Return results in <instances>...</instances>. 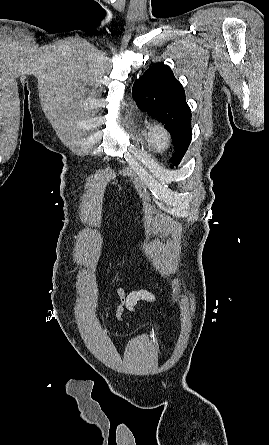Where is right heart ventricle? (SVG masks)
Instances as JSON below:
<instances>
[{
	"label": "right heart ventricle",
	"mask_w": 269,
	"mask_h": 445,
	"mask_svg": "<svg viewBox=\"0 0 269 445\" xmlns=\"http://www.w3.org/2000/svg\"><path fill=\"white\" fill-rule=\"evenodd\" d=\"M138 133L146 142H149V140H148V128H147V126L145 124L141 123L139 125Z\"/></svg>",
	"instance_id": "e07e8e85"
}]
</instances>
